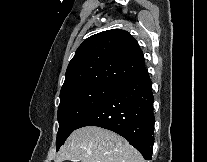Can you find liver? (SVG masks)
Wrapping results in <instances>:
<instances>
[{
    "mask_svg": "<svg viewBox=\"0 0 207 162\" xmlns=\"http://www.w3.org/2000/svg\"><path fill=\"white\" fill-rule=\"evenodd\" d=\"M145 162L120 135L97 126L75 130L60 148L55 162Z\"/></svg>",
    "mask_w": 207,
    "mask_h": 162,
    "instance_id": "6515ba94",
    "label": "liver"
}]
</instances>
